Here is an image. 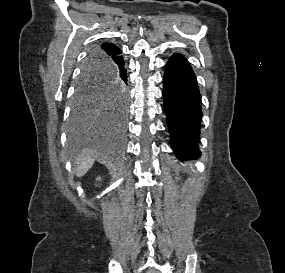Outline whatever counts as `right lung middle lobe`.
<instances>
[{
	"mask_svg": "<svg viewBox=\"0 0 285 273\" xmlns=\"http://www.w3.org/2000/svg\"><path fill=\"white\" fill-rule=\"evenodd\" d=\"M125 86L115 77L108 57L91 51L77 81L72 110V125L80 129L92 109L112 94L123 95ZM121 117L122 112H121Z\"/></svg>",
	"mask_w": 285,
	"mask_h": 273,
	"instance_id": "obj_1",
	"label": "right lung middle lobe"
}]
</instances>
